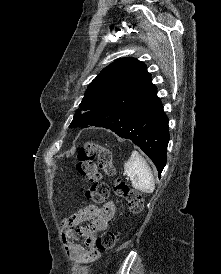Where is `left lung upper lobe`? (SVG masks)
I'll use <instances>...</instances> for the list:
<instances>
[{"label":"left lung upper lobe","mask_w":221,"mask_h":274,"mask_svg":"<svg viewBox=\"0 0 221 274\" xmlns=\"http://www.w3.org/2000/svg\"><path fill=\"white\" fill-rule=\"evenodd\" d=\"M151 81L146 65L135 58L119 59L104 68L88 86L70 127L96 123L94 111L138 97Z\"/></svg>","instance_id":"5c2ea615"}]
</instances>
